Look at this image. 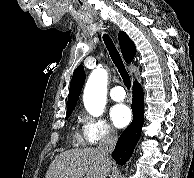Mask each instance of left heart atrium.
<instances>
[{"mask_svg":"<svg viewBox=\"0 0 194 178\" xmlns=\"http://www.w3.org/2000/svg\"><path fill=\"white\" fill-rule=\"evenodd\" d=\"M110 118L114 126L123 128L129 124L132 118L130 109L124 104H117L110 110Z\"/></svg>","mask_w":194,"mask_h":178,"instance_id":"obj_1","label":"left heart atrium"}]
</instances>
